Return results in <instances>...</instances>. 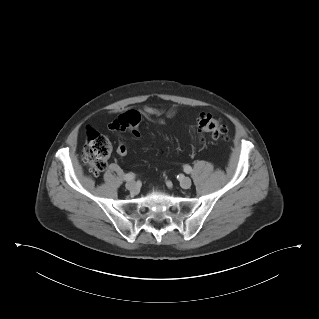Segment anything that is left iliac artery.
<instances>
[{
    "label": "left iliac artery",
    "instance_id": "obj_1",
    "mask_svg": "<svg viewBox=\"0 0 319 319\" xmlns=\"http://www.w3.org/2000/svg\"><path fill=\"white\" fill-rule=\"evenodd\" d=\"M184 171H185L187 174L191 173V172H192L191 166L185 165V166H184Z\"/></svg>",
    "mask_w": 319,
    "mask_h": 319
}]
</instances>
